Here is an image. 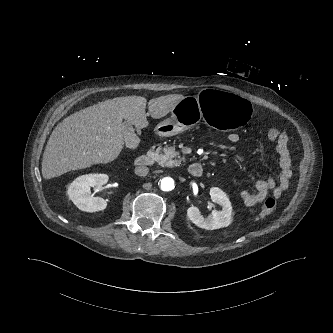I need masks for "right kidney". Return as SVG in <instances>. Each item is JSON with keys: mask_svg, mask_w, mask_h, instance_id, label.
<instances>
[{"mask_svg": "<svg viewBox=\"0 0 333 333\" xmlns=\"http://www.w3.org/2000/svg\"><path fill=\"white\" fill-rule=\"evenodd\" d=\"M107 174H86L77 177L68 187L67 194L82 211L97 212L104 210L107 202L101 197H93L91 187H101L108 182Z\"/></svg>", "mask_w": 333, "mask_h": 333, "instance_id": "ca27d5eb", "label": "right kidney"}]
</instances>
